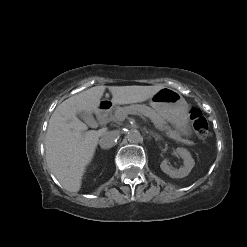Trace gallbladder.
<instances>
[{
	"mask_svg": "<svg viewBox=\"0 0 247 247\" xmlns=\"http://www.w3.org/2000/svg\"><path fill=\"white\" fill-rule=\"evenodd\" d=\"M77 115L89 125H91L94 121V118L92 117V115L85 111L79 112L77 113Z\"/></svg>",
	"mask_w": 247,
	"mask_h": 247,
	"instance_id": "gallbladder-1",
	"label": "gallbladder"
}]
</instances>
